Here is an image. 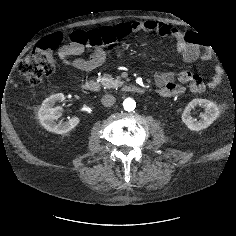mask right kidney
Instances as JSON below:
<instances>
[{
    "mask_svg": "<svg viewBox=\"0 0 236 236\" xmlns=\"http://www.w3.org/2000/svg\"><path fill=\"white\" fill-rule=\"evenodd\" d=\"M64 99V94H54L43 101L38 111V117L42 126L46 130L56 134H65L69 132L77 126L80 121L78 117H74L67 122H56L62 115V108L53 106L55 103L62 102Z\"/></svg>",
    "mask_w": 236,
    "mask_h": 236,
    "instance_id": "right-kidney-1",
    "label": "right kidney"
}]
</instances>
